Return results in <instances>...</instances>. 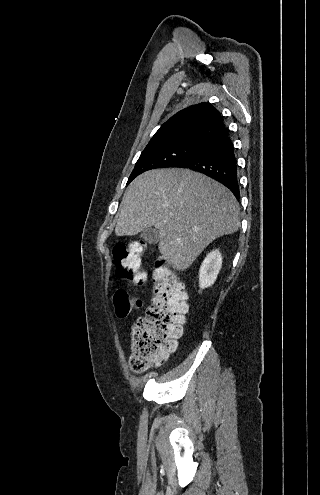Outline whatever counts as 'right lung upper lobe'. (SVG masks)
I'll use <instances>...</instances> for the list:
<instances>
[{
  "instance_id": "obj_1",
  "label": "right lung upper lobe",
  "mask_w": 320,
  "mask_h": 495,
  "mask_svg": "<svg viewBox=\"0 0 320 495\" xmlns=\"http://www.w3.org/2000/svg\"><path fill=\"white\" fill-rule=\"evenodd\" d=\"M225 129L222 117L210 103L189 106L165 122L147 146L182 139H204Z\"/></svg>"
}]
</instances>
